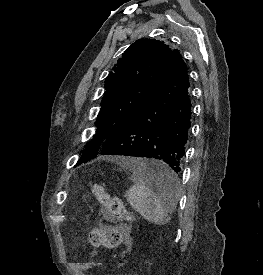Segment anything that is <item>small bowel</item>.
<instances>
[{
  "mask_svg": "<svg viewBox=\"0 0 263 275\" xmlns=\"http://www.w3.org/2000/svg\"><path fill=\"white\" fill-rule=\"evenodd\" d=\"M119 238H120V244L124 245L126 248L130 247L132 244V237H131V229L128 225H120L115 227ZM134 275V274H129Z\"/></svg>",
  "mask_w": 263,
  "mask_h": 275,
  "instance_id": "c3829d8e",
  "label": "small bowel"
}]
</instances>
